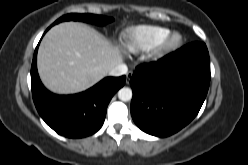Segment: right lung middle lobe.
<instances>
[{"label":"right lung middle lobe","instance_id":"obj_1","mask_svg":"<svg viewBox=\"0 0 248 165\" xmlns=\"http://www.w3.org/2000/svg\"><path fill=\"white\" fill-rule=\"evenodd\" d=\"M69 20H74V21H84V22H89L93 23L96 25H105L111 21H113V18L110 17H105L101 15H94V14H67L59 18L57 21L53 23V25L62 22V21H69Z\"/></svg>","mask_w":248,"mask_h":165}]
</instances>
